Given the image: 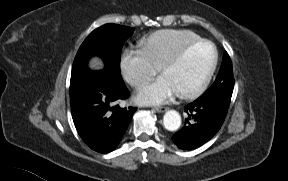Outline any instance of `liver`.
Wrapping results in <instances>:
<instances>
[{
	"label": "liver",
	"instance_id": "6515ba94",
	"mask_svg": "<svg viewBox=\"0 0 288 181\" xmlns=\"http://www.w3.org/2000/svg\"><path fill=\"white\" fill-rule=\"evenodd\" d=\"M89 66L94 69L102 68V61L98 57H93L90 60Z\"/></svg>",
	"mask_w": 288,
	"mask_h": 181
}]
</instances>
